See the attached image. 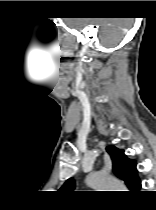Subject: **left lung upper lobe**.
<instances>
[{
    "mask_svg": "<svg viewBox=\"0 0 156 210\" xmlns=\"http://www.w3.org/2000/svg\"><path fill=\"white\" fill-rule=\"evenodd\" d=\"M107 153L110 155L113 163L114 174L123 180L128 188L132 191H138L141 188V181L137 175L136 161L129 159L124 150L115 146L106 147ZM75 183L70 178L62 186L61 190L71 191L74 189Z\"/></svg>",
    "mask_w": 156,
    "mask_h": 210,
    "instance_id": "left-lung-upper-lobe-1",
    "label": "left lung upper lobe"
}]
</instances>
